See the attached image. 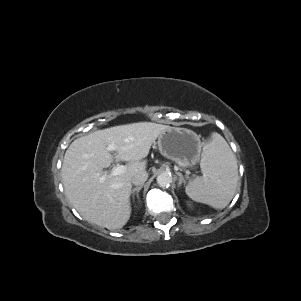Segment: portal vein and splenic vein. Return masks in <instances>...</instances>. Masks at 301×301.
Wrapping results in <instances>:
<instances>
[{
    "label": "portal vein and splenic vein",
    "instance_id": "18ae733b",
    "mask_svg": "<svg viewBox=\"0 0 301 301\" xmlns=\"http://www.w3.org/2000/svg\"><path fill=\"white\" fill-rule=\"evenodd\" d=\"M107 150L108 151H115L116 147L114 145H108ZM125 169H126V167L124 165H116L112 169L110 175H112V176L120 175V174L125 172Z\"/></svg>",
    "mask_w": 301,
    "mask_h": 301
}]
</instances>
